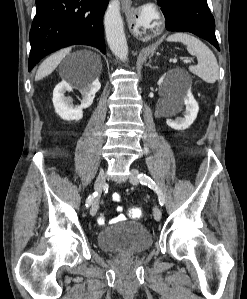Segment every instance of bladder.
Here are the masks:
<instances>
[{
	"label": "bladder",
	"instance_id": "1",
	"mask_svg": "<svg viewBox=\"0 0 247 299\" xmlns=\"http://www.w3.org/2000/svg\"><path fill=\"white\" fill-rule=\"evenodd\" d=\"M152 242L150 231L143 224L135 221H122L102 229L97 235L99 247L113 253H141L148 250Z\"/></svg>",
	"mask_w": 247,
	"mask_h": 299
}]
</instances>
